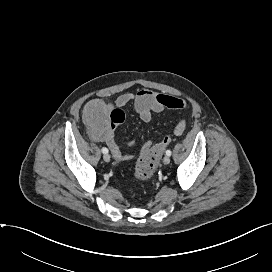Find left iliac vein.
Here are the masks:
<instances>
[{"mask_svg": "<svg viewBox=\"0 0 272 272\" xmlns=\"http://www.w3.org/2000/svg\"><path fill=\"white\" fill-rule=\"evenodd\" d=\"M163 163L166 164V165L169 164L170 163V157L166 155L164 157V159H163Z\"/></svg>", "mask_w": 272, "mask_h": 272, "instance_id": "obj_1", "label": "left iliac vein"}]
</instances>
